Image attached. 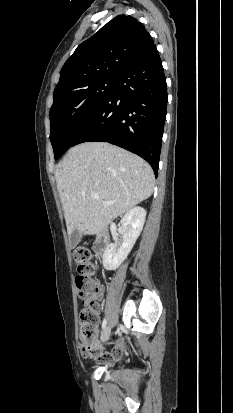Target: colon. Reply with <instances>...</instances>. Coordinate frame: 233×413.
<instances>
[{
    "mask_svg": "<svg viewBox=\"0 0 233 413\" xmlns=\"http://www.w3.org/2000/svg\"><path fill=\"white\" fill-rule=\"evenodd\" d=\"M73 258L77 265L75 277L76 288L80 297L87 300L85 308L79 316V341L81 353L85 357L94 356L98 352L97 326L99 322V304L90 298V294L99 288V281L95 277L97 266L92 261L91 252L86 248H79L73 252ZM104 358L103 361H109Z\"/></svg>",
    "mask_w": 233,
    "mask_h": 413,
    "instance_id": "5ec220e1",
    "label": "colon"
}]
</instances>
